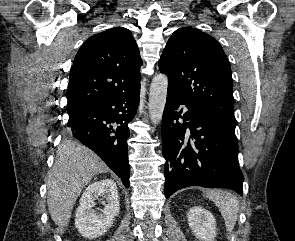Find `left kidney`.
Listing matches in <instances>:
<instances>
[{"label":"left kidney","instance_id":"5707ae66","mask_svg":"<svg viewBox=\"0 0 295 241\" xmlns=\"http://www.w3.org/2000/svg\"><path fill=\"white\" fill-rule=\"evenodd\" d=\"M188 224L196 238L200 241H214L216 237V220L214 216L201 206H193L187 213Z\"/></svg>","mask_w":295,"mask_h":241}]
</instances>
